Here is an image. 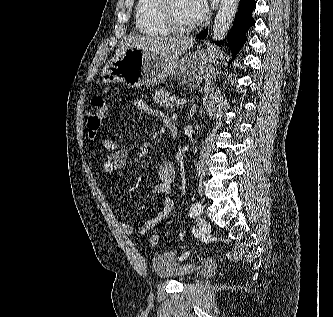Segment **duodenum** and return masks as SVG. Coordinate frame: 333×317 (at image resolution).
I'll use <instances>...</instances> for the list:
<instances>
[{"mask_svg":"<svg viewBox=\"0 0 333 317\" xmlns=\"http://www.w3.org/2000/svg\"><path fill=\"white\" fill-rule=\"evenodd\" d=\"M167 128L169 130V133L171 134V136L173 138H176L178 136V126L175 122H173L172 120L167 122Z\"/></svg>","mask_w":333,"mask_h":317,"instance_id":"410a0bca","label":"duodenum"}]
</instances>
